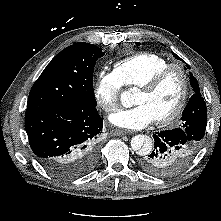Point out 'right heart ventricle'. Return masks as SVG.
Instances as JSON below:
<instances>
[{
  "label": "right heart ventricle",
  "instance_id": "right-heart-ventricle-1",
  "mask_svg": "<svg viewBox=\"0 0 221 221\" xmlns=\"http://www.w3.org/2000/svg\"><path fill=\"white\" fill-rule=\"evenodd\" d=\"M168 64L169 61L158 54L141 52L115 63L113 72L122 86L134 88L148 81Z\"/></svg>",
  "mask_w": 221,
  "mask_h": 221
}]
</instances>
